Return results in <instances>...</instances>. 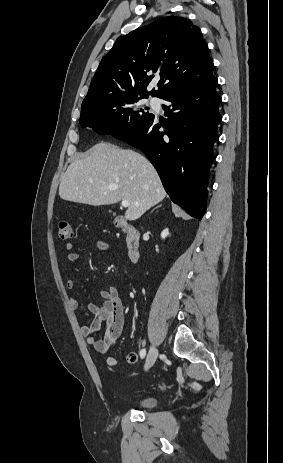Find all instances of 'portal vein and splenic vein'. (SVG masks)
<instances>
[{
	"label": "portal vein and splenic vein",
	"mask_w": 283,
	"mask_h": 463,
	"mask_svg": "<svg viewBox=\"0 0 283 463\" xmlns=\"http://www.w3.org/2000/svg\"><path fill=\"white\" fill-rule=\"evenodd\" d=\"M122 206L123 207H128L129 206V202L127 200H123L122 201Z\"/></svg>",
	"instance_id": "obj_1"
}]
</instances>
